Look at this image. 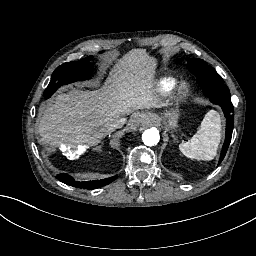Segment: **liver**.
Wrapping results in <instances>:
<instances>
[{"mask_svg":"<svg viewBox=\"0 0 256 256\" xmlns=\"http://www.w3.org/2000/svg\"><path fill=\"white\" fill-rule=\"evenodd\" d=\"M154 65L144 49L131 50L110 73L106 89L56 96L40 120L39 134L53 146L98 145L112 131L107 125L116 118L145 107H159L152 87ZM138 117L153 119L157 115L147 112Z\"/></svg>","mask_w":256,"mask_h":256,"instance_id":"6515ba94","label":"liver"}]
</instances>
